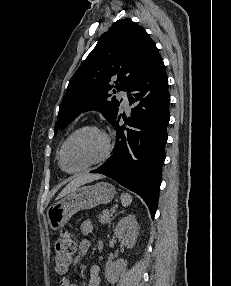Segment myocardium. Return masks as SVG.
I'll list each match as a JSON object with an SVG mask.
<instances>
[{"instance_id": "f54148a6", "label": "myocardium", "mask_w": 231, "mask_h": 286, "mask_svg": "<svg viewBox=\"0 0 231 286\" xmlns=\"http://www.w3.org/2000/svg\"><path fill=\"white\" fill-rule=\"evenodd\" d=\"M83 131H94V132L100 134L103 137L104 142H105L104 152H103V154L99 158H97L96 160L92 161L91 163H89V164H87V165H85V166H83L81 168H78V169L72 170V171L66 170L63 167V164H62L63 153H64V150H65V147L68 144V142L75 135H77L78 133L83 132ZM112 149H113L112 140H111V137L107 133L106 130H104L103 128H101L100 126H97V125H92V124L83 125V126L77 128V129H75L71 134H69L68 137L62 143L60 151H59L58 163H59L60 168L63 171L67 172V173H70V174L81 173V172H84L86 170H89V169H91V168H93L95 166H98V165L104 163L109 158V156H110V154L112 152Z\"/></svg>"}]
</instances>
